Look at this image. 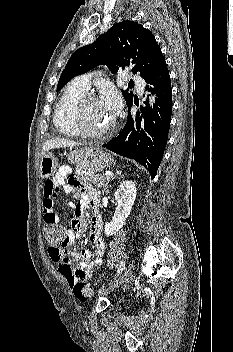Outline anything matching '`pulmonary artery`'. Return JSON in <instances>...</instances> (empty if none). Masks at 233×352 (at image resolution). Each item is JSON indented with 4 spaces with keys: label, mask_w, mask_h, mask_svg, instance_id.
<instances>
[{
    "label": "pulmonary artery",
    "mask_w": 233,
    "mask_h": 352,
    "mask_svg": "<svg viewBox=\"0 0 233 352\" xmlns=\"http://www.w3.org/2000/svg\"><path fill=\"white\" fill-rule=\"evenodd\" d=\"M131 78L142 90V87L144 84L143 79L138 75H132ZM74 82L80 87H82L83 89L89 90L90 84H91V75L89 74L80 75L74 79Z\"/></svg>",
    "instance_id": "pulmonary-artery-1"
}]
</instances>
